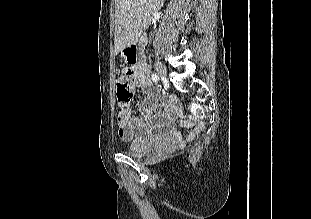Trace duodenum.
Segmentation results:
<instances>
[{"label":"duodenum","mask_w":311,"mask_h":219,"mask_svg":"<svg viewBox=\"0 0 311 219\" xmlns=\"http://www.w3.org/2000/svg\"><path fill=\"white\" fill-rule=\"evenodd\" d=\"M147 43V38L141 34L138 39L129 47V54L135 58V62L141 63L143 59L144 49Z\"/></svg>","instance_id":"duodenum-1"}]
</instances>
